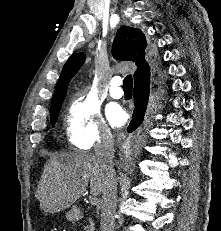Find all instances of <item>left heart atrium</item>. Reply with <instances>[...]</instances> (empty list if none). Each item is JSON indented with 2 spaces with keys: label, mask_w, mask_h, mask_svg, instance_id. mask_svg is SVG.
Here are the masks:
<instances>
[{
  "label": "left heart atrium",
  "mask_w": 221,
  "mask_h": 231,
  "mask_svg": "<svg viewBox=\"0 0 221 231\" xmlns=\"http://www.w3.org/2000/svg\"><path fill=\"white\" fill-rule=\"evenodd\" d=\"M107 119L112 126H122L126 121L125 111L118 105H111L107 109Z\"/></svg>",
  "instance_id": "left-heart-atrium-1"
}]
</instances>
